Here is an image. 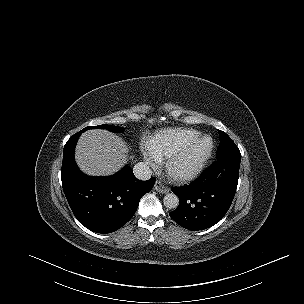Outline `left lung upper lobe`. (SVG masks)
Wrapping results in <instances>:
<instances>
[{"label":"left lung upper lobe","mask_w":304,"mask_h":304,"mask_svg":"<svg viewBox=\"0 0 304 304\" xmlns=\"http://www.w3.org/2000/svg\"><path fill=\"white\" fill-rule=\"evenodd\" d=\"M220 145L217 150V159L229 155H239L240 151L233 140L223 131L218 130Z\"/></svg>","instance_id":"5c2ea615"}]
</instances>
